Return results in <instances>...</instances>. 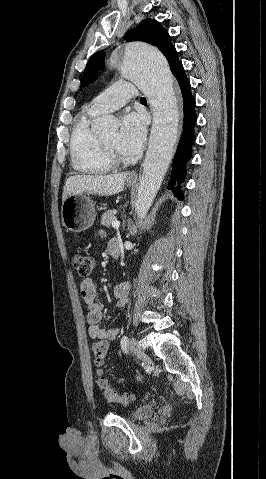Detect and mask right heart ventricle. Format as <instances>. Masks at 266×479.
<instances>
[{"mask_svg":"<svg viewBox=\"0 0 266 479\" xmlns=\"http://www.w3.org/2000/svg\"><path fill=\"white\" fill-rule=\"evenodd\" d=\"M98 115L87 110L75 123L70 140L72 165L83 174H106L114 165L107 160L100 142V136L92 129L93 118Z\"/></svg>","mask_w":266,"mask_h":479,"instance_id":"obj_1","label":"right heart ventricle"}]
</instances>
